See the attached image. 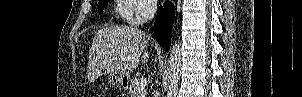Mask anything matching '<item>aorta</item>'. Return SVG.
Here are the masks:
<instances>
[{
    "label": "aorta",
    "instance_id": "1",
    "mask_svg": "<svg viewBox=\"0 0 302 97\" xmlns=\"http://www.w3.org/2000/svg\"><path fill=\"white\" fill-rule=\"evenodd\" d=\"M168 70V84L166 97H175L178 90L181 71V49L179 43L175 42L170 51Z\"/></svg>",
    "mask_w": 302,
    "mask_h": 97
}]
</instances>
